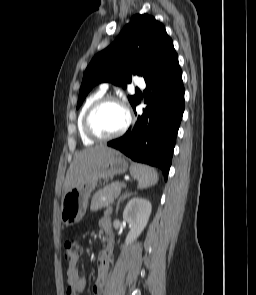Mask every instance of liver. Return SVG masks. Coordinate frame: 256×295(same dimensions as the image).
Wrapping results in <instances>:
<instances>
[{
  "label": "liver",
  "instance_id": "1",
  "mask_svg": "<svg viewBox=\"0 0 256 295\" xmlns=\"http://www.w3.org/2000/svg\"><path fill=\"white\" fill-rule=\"evenodd\" d=\"M117 153L116 150L106 146L86 148L78 152L66 174L65 194L109 156Z\"/></svg>",
  "mask_w": 256,
  "mask_h": 295
}]
</instances>
